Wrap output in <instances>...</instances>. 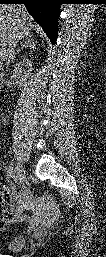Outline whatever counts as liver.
Segmentation results:
<instances>
[{"mask_svg": "<svg viewBox=\"0 0 106 257\" xmlns=\"http://www.w3.org/2000/svg\"><path fill=\"white\" fill-rule=\"evenodd\" d=\"M32 17L22 5H2L0 7V46H7L12 36L17 40L31 36Z\"/></svg>", "mask_w": 106, "mask_h": 257, "instance_id": "liver-1", "label": "liver"}]
</instances>
